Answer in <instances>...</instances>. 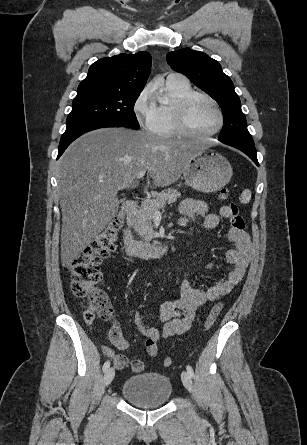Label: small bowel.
Returning a JSON list of instances; mask_svg holds the SVG:
<instances>
[{
  "mask_svg": "<svg viewBox=\"0 0 307 445\" xmlns=\"http://www.w3.org/2000/svg\"><path fill=\"white\" fill-rule=\"evenodd\" d=\"M179 211L182 215L179 221L180 225L186 226L189 222H194L197 216H200L203 218L204 228L208 230L216 228L222 219L230 217L229 206H222L218 212L213 213L209 211L204 202L193 199L183 200ZM226 238L233 245L226 253V259L232 265V269L225 278L206 288L195 287L188 280L182 281L180 298L175 301H165L159 306V316L164 321L162 333L157 328L146 324L140 312L134 315V325L145 338V350L150 357L157 355L158 344L161 339L187 332L198 310L205 303L216 301L230 293L234 286L245 276L252 256L250 237L244 230L230 228ZM208 267H213V265L209 264ZM116 347L119 350H125L128 343L125 341L123 345ZM102 350L106 356L112 359L118 369L130 365L134 372H141L145 368V362L142 358L129 360L124 354H115L106 346H103Z\"/></svg>",
  "mask_w": 307,
  "mask_h": 445,
  "instance_id": "1",
  "label": "small bowel"
}]
</instances>
